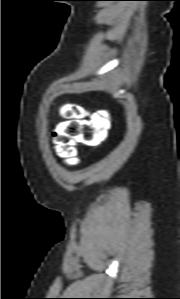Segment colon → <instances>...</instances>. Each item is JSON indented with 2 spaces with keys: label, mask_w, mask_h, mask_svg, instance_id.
<instances>
[{
  "label": "colon",
  "mask_w": 180,
  "mask_h": 299,
  "mask_svg": "<svg viewBox=\"0 0 180 299\" xmlns=\"http://www.w3.org/2000/svg\"><path fill=\"white\" fill-rule=\"evenodd\" d=\"M67 113L71 117L60 123L54 130L53 143L55 152L61 159L75 162L76 142L80 141L88 145L103 142L109 132L111 122L103 115H100L96 122L87 119L84 109L76 105H71Z\"/></svg>",
  "instance_id": "obj_1"
}]
</instances>
